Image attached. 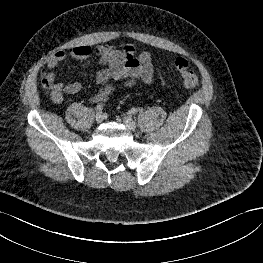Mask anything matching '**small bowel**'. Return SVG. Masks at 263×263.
<instances>
[{
  "label": "small bowel",
  "instance_id": "obj_1",
  "mask_svg": "<svg viewBox=\"0 0 263 263\" xmlns=\"http://www.w3.org/2000/svg\"><path fill=\"white\" fill-rule=\"evenodd\" d=\"M91 53L99 57L100 69L96 79L102 86L91 97L93 103L106 101L117 85L122 88H131L139 81L145 84L153 81L154 68L147 51H141L136 55V48L131 44H126L121 48L107 45H98L93 48L89 45H77L68 51L55 52L47 61L50 71L45 76L51 87V98L55 103H61L66 95L78 93L81 84L78 81L57 82L52 70L67 59L82 61Z\"/></svg>",
  "mask_w": 263,
  "mask_h": 263
}]
</instances>
